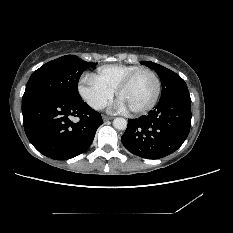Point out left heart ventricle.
<instances>
[{
	"mask_svg": "<svg viewBox=\"0 0 233 233\" xmlns=\"http://www.w3.org/2000/svg\"><path fill=\"white\" fill-rule=\"evenodd\" d=\"M155 87L154 77L149 73H142L121 93L119 99L128 109L143 108L152 100Z\"/></svg>",
	"mask_w": 233,
	"mask_h": 233,
	"instance_id": "b2bd125f",
	"label": "left heart ventricle"
}]
</instances>
